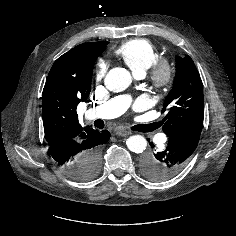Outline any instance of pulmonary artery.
Listing matches in <instances>:
<instances>
[{
    "label": "pulmonary artery",
    "instance_id": "1",
    "mask_svg": "<svg viewBox=\"0 0 236 236\" xmlns=\"http://www.w3.org/2000/svg\"><path fill=\"white\" fill-rule=\"evenodd\" d=\"M139 77L143 75H138ZM132 98L129 94L118 95L104 104L89 110L86 112L88 118H102L109 119L120 116L123 114L131 105ZM167 141V137L163 134H159L157 142L164 144Z\"/></svg>",
    "mask_w": 236,
    "mask_h": 236
}]
</instances>
